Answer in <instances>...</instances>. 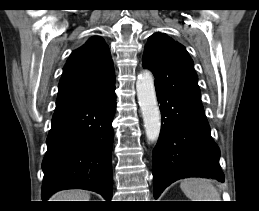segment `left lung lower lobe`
Here are the masks:
<instances>
[{
	"instance_id": "0a47b994",
	"label": "left lung lower lobe",
	"mask_w": 259,
	"mask_h": 211,
	"mask_svg": "<svg viewBox=\"0 0 259 211\" xmlns=\"http://www.w3.org/2000/svg\"><path fill=\"white\" fill-rule=\"evenodd\" d=\"M156 93L162 126L152 157L155 197L181 178L206 177L224 182L220 150L210 135L201 99L158 88Z\"/></svg>"
}]
</instances>
